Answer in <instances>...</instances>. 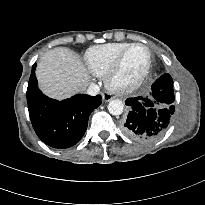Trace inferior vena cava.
Wrapping results in <instances>:
<instances>
[{
  "label": "inferior vena cava",
  "mask_w": 205,
  "mask_h": 205,
  "mask_svg": "<svg viewBox=\"0 0 205 205\" xmlns=\"http://www.w3.org/2000/svg\"><path fill=\"white\" fill-rule=\"evenodd\" d=\"M100 91V88L97 84L95 83H90L88 86L86 93L90 96H96Z\"/></svg>",
  "instance_id": "inferior-vena-cava-1"
}]
</instances>
